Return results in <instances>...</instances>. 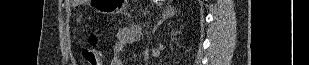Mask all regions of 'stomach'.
Returning a JSON list of instances; mask_svg holds the SVG:
<instances>
[{
    "mask_svg": "<svg viewBox=\"0 0 309 65\" xmlns=\"http://www.w3.org/2000/svg\"><path fill=\"white\" fill-rule=\"evenodd\" d=\"M97 5L96 10L106 15H116L125 11L127 0H97L92 1Z\"/></svg>",
    "mask_w": 309,
    "mask_h": 65,
    "instance_id": "1",
    "label": "stomach"
}]
</instances>
